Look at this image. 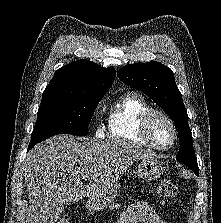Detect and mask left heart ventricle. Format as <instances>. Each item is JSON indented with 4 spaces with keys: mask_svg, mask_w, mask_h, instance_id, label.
Listing matches in <instances>:
<instances>
[{
    "mask_svg": "<svg viewBox=\"0 0 221 223\" xmlns=\"http://www.w3.org/2000/svg\"><path fill=\"white\" fill-rule=\"evenodd\" d=\"M151 136L161 146H167L173 138L169 124L159 116L155 117L151 123Z\"/></svg>",
    "mask_w": 221,
    "mask_h": 223,
    "instance_id": "1",
    "label": "left heart ventricle"
}]
</instances>
